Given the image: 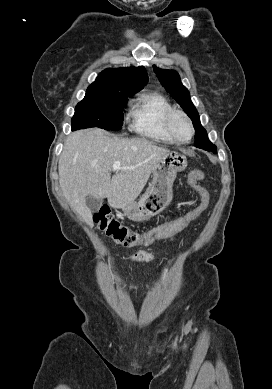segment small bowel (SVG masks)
Instances as JSON below:
<instances>
[{"mask_svg": "<svg viewBox=\"0 0 272 389\" xmlns=\"http://www.w3.org/2000/svg\"><path fill=\"white\" fill-rule=\"evenodd\" d=\"M174 236L166 237L164 239H173ZM129 259L131 261H144V262H149L152 260V256L148 253L138 251L129 256ZM125 289L129 291H135L136 287L134 285H124L123 286Z\"/></svg>", "mask_w": 272, "mask_h": 389, "instance_id": "obj_1", "label": "small bowel"}]
</instances>
